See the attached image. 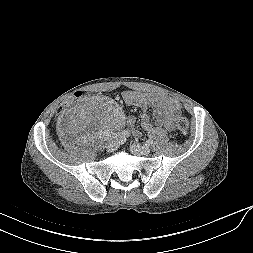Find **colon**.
I'll list each match as a JSON object with an SVG mask.
<instances>
[{"instance_id": "5ec220e1", "label": "colon", "mask_w": 253, "mask_h": 253, "mask_svg": "<svg viewBox=\"0 0 253 253\" xmlns=\"http://www.w3.org/2000/svg\"><path fill=\"white\" fill-rule=\"evenodd\" d=\"M94 95V92L90 89H82L76 91L72 94L67 95L64 99L61 100L60 104L57 107L58 112L63 113L65 110L73 103L77 102L80 99H88ZM176 127L178 131L182 134H186L189 130V122L186 118L181 117L177 120Z\"/></svg>"}]
</instances>
